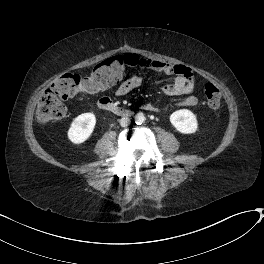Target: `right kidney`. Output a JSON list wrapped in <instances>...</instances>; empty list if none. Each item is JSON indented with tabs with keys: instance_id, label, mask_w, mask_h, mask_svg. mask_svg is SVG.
Masks as SVG:
<instances>
[{
	"instance_id": "right-kidney-1",
	"label": "right kidney",
	"mask_w": 264,
	"mask_h": 264,
	"mask_svg": "<svg viewBox=\"0 0 264 264\" xmlns=\"http://www.w3.org/2000/svg\"><path fill=\"white\" fill-rule=\"evenodd\" d=\"M96 125L93 113H83L77 116L68 130V138L74 144L85 142L92 134Z\"/></svg>"
}]
</instances>
